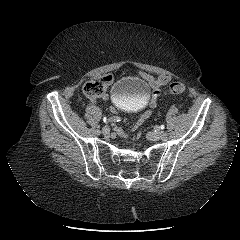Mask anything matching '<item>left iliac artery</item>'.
<instances>
[{"mask_svg": "<svg viewBox=\"0 0 240 240\" xmlns=\"http://www.w3.org/2000/svg\"><path fill=\"white\" fill-rule=\"evenodd\" d=\"M160 134H161V136H166V134H167V128L166 127H163L162 128V130L160 131Z\"/></svg>", "mask_w": 240, "mask_h": 240, "instance_id": "obj_1", "label": "left iliac artery"}]
</instances>
